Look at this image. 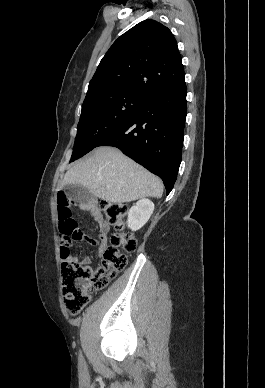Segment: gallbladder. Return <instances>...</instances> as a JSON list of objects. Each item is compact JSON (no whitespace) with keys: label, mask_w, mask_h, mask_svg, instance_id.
Wrapping results in <instances>:
<instances>
[{"label":"gallbladder","mask_w":265,"mask_h":388,"mask_svg":"<svg viewBox=\"0 0 265 388\" xmlns=\"http://www.w3.org/2000/svg\"><path fill=\"white\" fill-rule=\"evenodd\" d=\"M63 190L66 196H68L72 202H75V204H85V202H88V200L93 198V194L88 192L83 186H79V184H67V186H64Z\"/></svg>","instance_id":"obj_1"}]
</instances>
